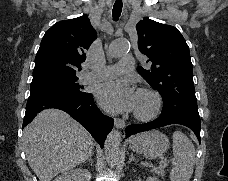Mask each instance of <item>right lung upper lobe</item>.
Returning a JSON list of instances; mask_svg holds the SVG:
<instances>
[{"instance_id":"obj_1","label":"right lung upper lobe","mask_w":228,"mask_h":181,"mask_svg":"<svg viewBox=\"0 0 228 181\" xmlns=\"http://www.w3.org/2000/svg\"><path fill=\"white\" fill-rule=\"evenodd\" d=\"M96 38L87 16L59 21L46 31L35 57L33 79L75 75Z\"/></svg>"}]
</instances>
